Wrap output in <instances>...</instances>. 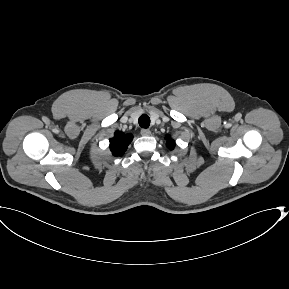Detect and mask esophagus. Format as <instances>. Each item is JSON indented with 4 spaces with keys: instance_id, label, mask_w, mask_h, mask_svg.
<instances>
[{
    "instance_id": "34e87169",
    "label": "esophagus",
    "mask_w": 289,
    "mask_h": 289,
    "mask_svg": "<svg viewBox=\"0 0 289 289\" xmlns=\"http://www.w3.org/2000/svg\"><path fill=\"white\" fill-rule=\"evenodd\" d=\"M141 135L142 136H150L151 135V131L149 129H142L141 130Z\"/></svg>"
}]
</instances>
